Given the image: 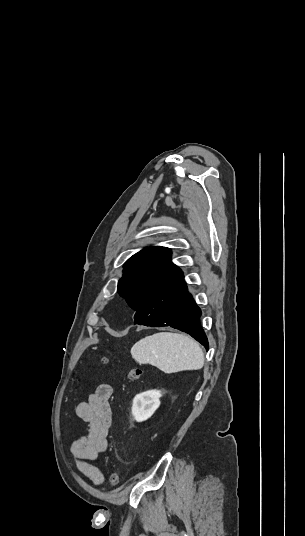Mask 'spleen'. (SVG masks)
I'll use <instances>...</instances> for the list:
<instances>
[{"mask_svg": "<svg viewBox=\"0 0 305 536\" xmlns=\"http://www.w3.org/2000/svg\"><path fill=\"white\" fill-rule=\"evenodd\" d=\"M131 356L137 364H151L165 374L200 370L204 366V354L197 342L184 334L160 332L146 336L131 348Z\"/></svg>", "mask_w": 305, "mask_h": 536, "instance_id": "spleen-1", "label": "spleen"}]
</instances>
